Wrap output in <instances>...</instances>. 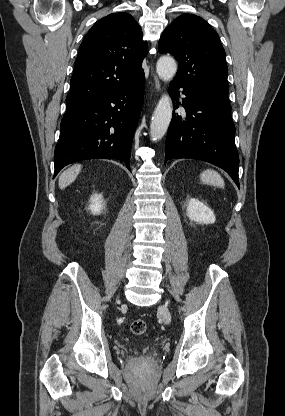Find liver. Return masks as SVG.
I'll return each instance as SVG.
<instances>
[{
    "label": "liver",
    "instance_id": "liver-1",
    "mask_svg": "<svg viewBox=\"0 0 285 416\" xmlns=\"http://www.w3.org/2000/svg\"><path fill=\"white\" fill-rule=\"evenodd\" d=\"M81 170V166L79 164H75V166H72V168H68V170H65L63 174H61L59 178V188L60 190H64V188H67L69 184H72L74 180H76L79 172Z\"/></svg>",
    "mask_w": 285,
    "mask_h": 416
}]
</instances>
